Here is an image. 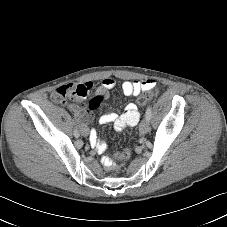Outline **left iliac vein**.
I'll list each match as a JSON object with an SVG mask.
<instances>
[{
    "label": "left iliac vein",
    "mask_w": 227,
    "mask_h": 227,
    "mask_svg": "<svg viewBox=\"0 0 227 227\" xmlns=\"http://www.w3.org/2000/svg\"><path fill=\"white\" fill-rule=\"evenodd\" d=\"M150 130L149 120L147 118L143 119L139 126V131L141 134H146Z\"/></svg>",
    "instance_id": "4c4485c4"
}]
</instances>
